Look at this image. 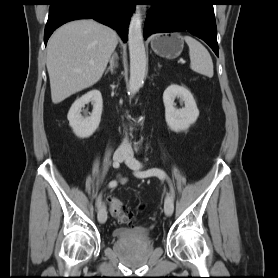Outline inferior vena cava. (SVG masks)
I'll return each mask as SVG.
<instances>
[{"instance_id":"1","label":"inferior vena cava","mask_w":278,"mask_h":278,"mask_svg":"<svg viewBox=\"0 0 278 278\" xmlns=\"http://www.w3.org/2000/svg\"><path fill=\"white\" fill-rule=\"evenodd\" d=\"M118 152L123 153V154H131L132 153L131 146L129 145L127 139H124V141L118 148Z\"/></svg>"}]
</instances>
